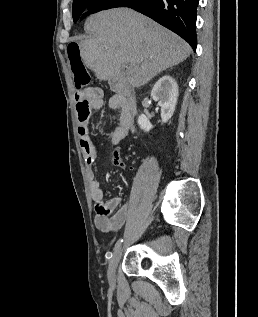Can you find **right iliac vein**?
Returning a JSON list of instances; mask_svg holds the SVG:
<instances>
[{
	"mask_svg": "<svg viewBox=\"0 0 258 317\" xmlns=\"http://www.w3.org/2000/svg\"><path fill=\"white\" fill-rule=\"evenodd\" d=\"M122 248L124 247L123 245L121 246ZM117 248L115 255L113 256V258H111L109 260V266H108V271H109V276L110 277H115L116 276V267H117V263L120 261L121 257H122V248Z\"/></svg>",
	"mask_w": 258,
	"mask_h": 317,
	"instance_id": "1",
	"label": "right iliac vein"
}]
</instances>
